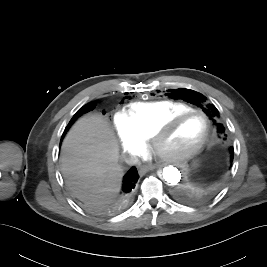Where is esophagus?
<instances>
[{"instance_id":"obj_1","label":"esophagus","mask_w":267,"mask_h":267,"mask_svg":"<svg viewBox=\"0 0 267 267\" xmlns=\"http://www.w3.org/2000/svg\"><path fill=\"white\" fill-rule=\"evenodd\" d=\"M155 167L153 165L150 166H143L140 168L139 173L141 175H144L146 172H148L149 170H153Z\"/></svg>"}]
</instances>
